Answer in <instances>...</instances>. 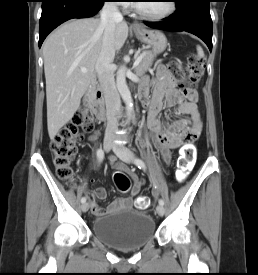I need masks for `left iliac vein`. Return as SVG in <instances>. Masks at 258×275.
<instances>
[{
	"instance_id": "4c4485c4",
	"label": "left iliac vein",
	"mask_w": 258,
	"mask_h": 275,
	"mask_svg": "<svg viewBox=\"0 0 258 275\" xmlns=\"http://www.w3.org/2000/svg\"><path fill=\"white\" fill-rule=\"evenodd\" d=\"M113 151L114 153L124 162L126 163H131L132 159L134 157V154L132 151H130L128 148H125L120 145H113ZM157 213L160 216H163L165 214V208L163 205H158L157 208Z\"/></svg>"
}]
</instances>
